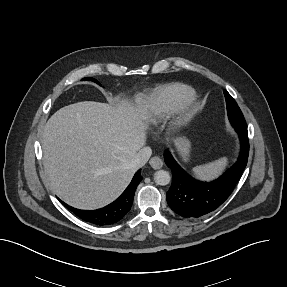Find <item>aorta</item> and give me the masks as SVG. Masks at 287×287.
Instances as JSON below:
<instances>
[{
	"label": "aorta",
	"instance_id": "762f6f07",
	"mask_svg": "<svg viewBox=\"0 0 287 287\" xmlns=\"http://www.w3.org/2000/svg\"><path fill=\"white\" fill-rule=\"evenodd\" d=\"M171 180L170 174L164 170H158L154 173V181L157 185H168Z\"/></svg>",
	"mask_w": 287,
	"mask_h": 287
}]
</instances>
